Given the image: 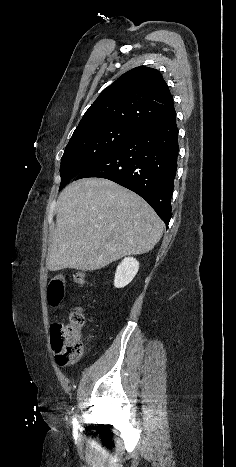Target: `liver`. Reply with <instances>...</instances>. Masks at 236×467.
<instances>
[{"label": "liver", "mask_w": 236, "mask_h": 467, "mask_svg": "<svg viewBox=\"0 0 236 467\" xmlns=\"http://www.w3.org/2000/svg\"><path fill=\"white\" fill-rule=\"evenodd\" d=\"M164 223L140 196L103 178L67 186L57 200L46 266L93 271L126 255L149 252Z\"/></svg>", "instance_id": "liver-1"}]
</instances>
